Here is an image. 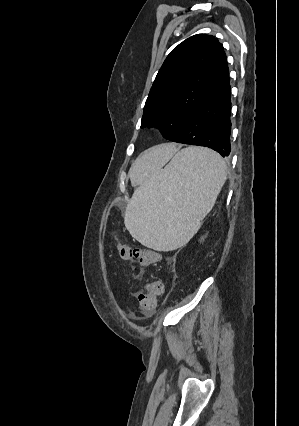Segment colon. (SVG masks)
<instances>
[{"mask_svg": "<svg viewBox=\"0 0 299 426\" xmlns=\"http://www.w3.org/2000/svg\"><path fill=\"white\" fill-rule=\"evenodd\" d=\"M115 246L123 260H137L142 266H150L160 260V254L148 248H135L118 241L115 237ZM164 292L162 280L148 282L143 290L138 293L137 299L141 314L145 317L152 316L157 308L159 297Z\"/></svg>", "mask_w": 299, "mask_h": 426, "instance_id": "5ec220e1", "label": "colon"}]
</instances>
